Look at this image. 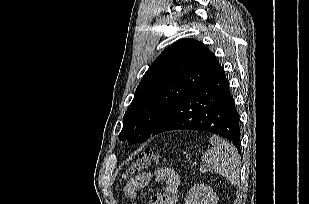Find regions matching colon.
Returning a JSON list of instances; mask_svg holds the SVG:
<instances>
[{"mask_svg": "<svg viewBox=\"0 0 309 204\" xmlns=\"http://www.w3.org/2000/svg\"><path fill=\"white\" fill-rule=\"evenodd\" d=\"M161 161V155L155 149H147L141 152L138 157L132 162L126 172V176H132L142 173L144 170L150 168Z\"/></svg>", "mask_w": 309, "mask_h": 204, "instance_id": "1", "label": "colon"}]
</instances>
